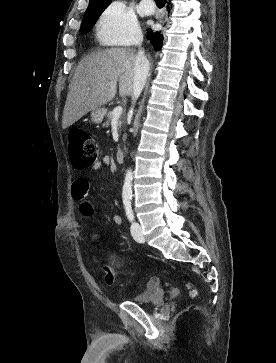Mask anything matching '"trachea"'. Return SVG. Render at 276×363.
Wrapping results in <instances>:
<instances>
[{"label": "trachea", "instance_id": "obj_1", "mask_svg": "<svg viewBox=\"0 0 276 363\" xmlns=\"http://www.w3.org/2000/svg\"><path fill=\"white\" fill-rule=\"evenodd\" d=\"M155 2L158 6H163L165 5L166 0H155Z\"/></svg>", "mask_w": 276, "mask_h": 363}]
</instances>
